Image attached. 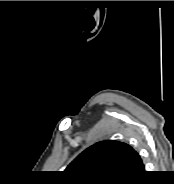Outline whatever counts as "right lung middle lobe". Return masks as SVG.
<instances>
[{"mask_svg": "<svg viewBox=\"0 0 174 184\" xmlns=\"http://www.w3.org/2000/svg\"><path fill=\"white\" fill-rule=\"evenodd\" d=\"M86 183H92V184H109V183H104V182H86Z\"/></svg>", "mask_w": 174, "mask_h": 184, "instance_id": "1", "label": "right lung middle lobe"}]
</instances>
